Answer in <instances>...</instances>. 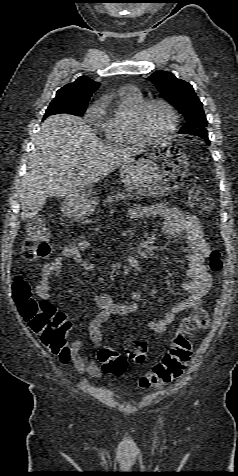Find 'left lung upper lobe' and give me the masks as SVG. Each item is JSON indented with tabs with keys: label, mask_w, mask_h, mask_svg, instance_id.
<instances>
[{
	"label": "left lung upper lobe",
	"mask_w": 238,
	"mask_h": 476,
	"mask_svg": "<svg viewBox=\"0 0 238 476\" xmlns=\"http://www.w3.org/2000/svg\"><path fill=\"white\" fill-rule=\"evenodd\" d=\"M161 96L170 102L185 117L186 124L180 133L208 137L207 119L202 102L188 82L177 79L171 72L156 71L150 75Z\"/></svg>",
	"instance_id": "1"
}]
</instances>
